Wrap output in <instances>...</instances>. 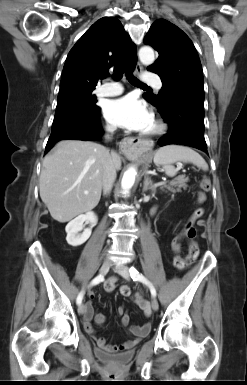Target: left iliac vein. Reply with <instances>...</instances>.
Listing matches in <instances>:
<instances>
[{"mask_svg": "<svg viewBox=\"0 0 247 385\" xmlns=\"http://www.w3.org/2000/svg\"><path fill=\"white\" fill-rule=\"evenodd\" d=\"M114 270L121 275L123 278L129 280L130 279V272H129V267L126 265H121L118 267H115ZM151 307L154 311L158 310L159 304L156 298L151 299Z\"/></svg>", "mask_w": 247, "mask_h": 385, "instance_id": "obj_1", "label": "left iliac vein"}]
</instances>
